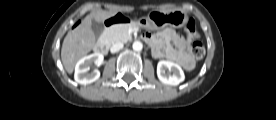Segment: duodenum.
<instances>
[{
  "label": "duodenum",
  "mask_w": 276,
  "mask_h": 120,
  "mask_svg": "<svg viewBox=\"0 0 276 120\" xmlns=\"http://www.w3.org/2000/svg\"><path fill=\"white\" fill-rule=\"evenodd\" d=\"M116 25L132 27L134 25V18L128 15L117 14L102 21V26L104 28H111ZM95 51L99 54H106L108 47L105 42H99L95 47Z\"/></svg>",
  "instance_id": "obj_1"
}]
</instances>
